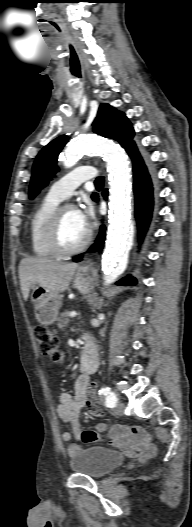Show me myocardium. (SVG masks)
<instances>
[{
	"label": "myocardium",
	"mask_w": 192,
	"mask_h": 527,
	"mask_svg": "<svg viewBox=\"0 0 192 527\" xmlns=\"http://www.w3.org/2000/svg\"><path fill=\"white\" fill-rule=\"evenodd\" d=\"M66 210H75L71 205H65L58 207L55 211L48 230V242L52 250L61 256H70L83 251L90 243L92 238V233L88 229L87 234L83 241L74 247H66L61 242L60 229L63 214Z\"/></svg>",
	"instance_id": "1"
}]
</instances>
